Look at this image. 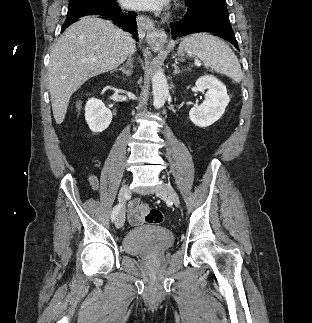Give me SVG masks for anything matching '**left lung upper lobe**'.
<instances>
[{"mask_svg":"<svg viewBox=\"0 0 312 323\" xmlns=\"http://www.w3.org/2000/svg\"><path fill=\"white\" fill-rule=\"evenodd\" d=\"M188 4L187 15L192 16L199 12L201 6L206 3H211L217 0H185Z\"/></svg>","mask_w":312,"mask_h":323,"instance_id":"5c2ea615","label":"left lung upper lobe"}]
</instances>
